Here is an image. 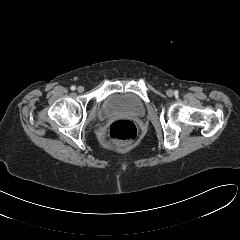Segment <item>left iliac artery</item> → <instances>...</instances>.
Segmentation results:
<instances>
[{
  "label": "left iliac artery",
  "instance_id": "obj_1",
  "mask_svg": "<svg viewBox=\"0 0 240 240\" xmlns=\"http://www.w3.org/2000/svg\"><path fill=\"white\" fill-rule=\"evenodd\" d=\"M178 93H179V92H178L177 90L174 92V94H175L176 96L178 95Z\"/></svg>",
  "mask_w": 240,
  "mask_h": 240
}]
</instances>
